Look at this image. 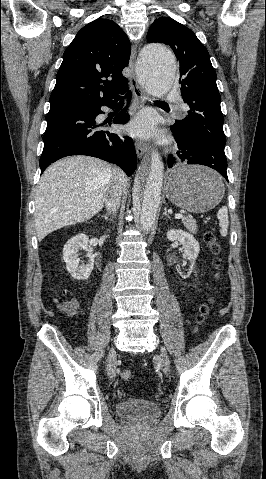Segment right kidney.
I'll use <instances>...</instances> for the list:
<instances>
[{"instance_id":"ca27d5eb","label":"right kidney","mask_w":266,"mask_h":479,"mask_svg":"<svg viewBox=\"0 0 266 479\" xmlns=\"http://www.w3.org/2000/svg\"><path fill=\"white\" fill-rule=\"evenodd\" d=\"M88 236L86 234H78L67 241L63 248V259L66 263V269L70 275L76 280H86L93 268L94 257L88 254L89 260L87 264H80L78 257V250L83 249L88 251Z\"/></svg>"}]
</instances>
